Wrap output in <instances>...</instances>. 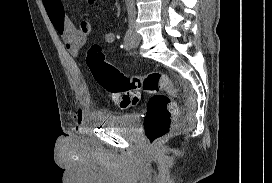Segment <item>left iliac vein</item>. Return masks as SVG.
I'll use <instances>...</instances> for the list:
<instances>
[{"label":"left iliac vein","mask_w":272,"mask_h":183,"mask_svg":"<svg viewBox=\"0 0 272 183\" xmlns=\"http://www.w3.org/2000/svg\"><path fill=\"white\" fill-rule=\"evenodd\" d=\"M140 43V37L138 34H136L135 32L133 33V37H132V45L133 47L138 46Z\"/></svg>","instance_id":"4c4485c4"}]
</instances>
